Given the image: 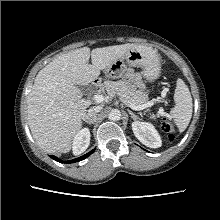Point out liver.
I'll list each match as a JSON object with an SVG mask.
<instances>
[{
	"label": "liver",
	"instance_id": "1",
	"mask_svg": "<svg viewBox=\"0 0 220 220\" xmlns=\"http://www.w3.org/2000/svg\"><path fill=\"white\" fill-rule=\"evenodd\" d=\"M135 44L83 47L62 54L37 74L27 100L33 137L47 152L67 153L92 101L82 99L78 85H88ZM92 64H88L90 59Z\"/></svg>",
	"mask_w": 220,
	"mask_h": 220
}]
</instances>
